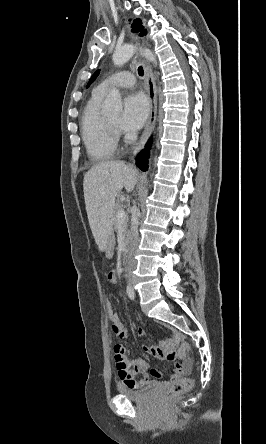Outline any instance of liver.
<instances>
[{
  "mask_svg": "<svg viewBox=\"0 0 266 444\" xmlns=\"http://www.w3.org/2000/svg\"><path fill=\"white\" fill-rule=\"evenodd\" d=\"M137 172L123 161H106L93 166L84 176L83 191L89 225L100 251L111 235L115 199L124 187L131 192Z\"/></svg>",
  "mask_w": 266,
  "mask_h": 444,
  "instance_id": "liver-1",
  "label": "liver"
}]
</instances>
